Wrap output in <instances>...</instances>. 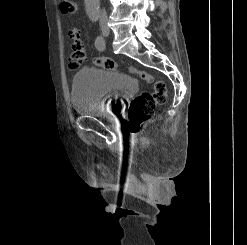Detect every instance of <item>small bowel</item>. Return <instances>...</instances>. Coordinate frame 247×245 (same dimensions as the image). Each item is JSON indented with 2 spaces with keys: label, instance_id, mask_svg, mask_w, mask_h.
I'll list each match as a JSON object with an SVG mask.
<instances>
[{
  "label": "small bowel",
  "instance_id": "c3829d8e",
  "mask_svg": "<svg viewBox=\"0 0 247 245\" xmlns=\"http://www.w3.org/2000/svg\"><path fill=\"white\" fill-rule=\"evenodd\" d=\"M63 12V11H62ZM64 13V12H63ZM73 30H75V31H77V32H79L77 29H73Z\"/></svg>",
  "mask_w": 247,
  "mask_h": 245
}]
</instances>
